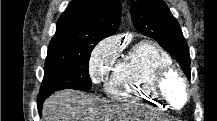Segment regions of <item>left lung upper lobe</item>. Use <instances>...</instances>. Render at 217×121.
<instances>
[{"mask_svg":"<svg viewBox=\"0 0 217 121\" xmlns=\"http://www.w3.org/2000/svg\"><path fill=\"white\" fill-rule=\"evenodd\" d=\"M135 28L155 39L182 67L190 79L189 48L177 20L163 0H138L130 7Z\"/></svg>","mask_w":217,"mask_h":121,"instance_id":"left-lung-upper-lobe-1","label":"left lung upper lobe"}]
</instances>
